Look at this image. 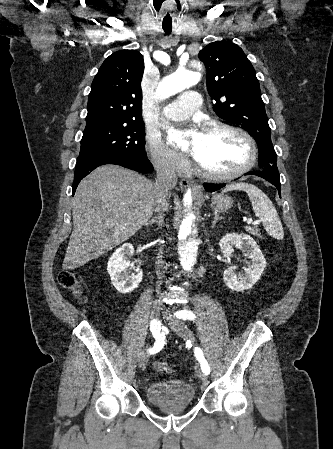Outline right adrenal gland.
<instances>
[{
    "instance_id": "2a0ac1e0",
    "label": "right adrenal gland",
    "mask_w": 333,
    "mask_h": 449,
    "mask_svg": "<svg viewBox=\"0 0 333 449\" xmlns=\"http://www.w3.org/2000/svg\"><path fill=\"white\" fill-rule=\"evenodd\" d=\"M163 222H164L163 216L160 214L159 216L146 222L145 226H149L151 224H157L158 228H162Z\"/></svg>"
}]
</instances>
